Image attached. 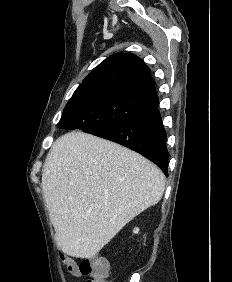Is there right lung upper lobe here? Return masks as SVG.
Here are the masks:
<instances>
[{"instance_id":"1","label":"right lung upper lobe","mask_w":232,"mask_h":282,"mask_svg":"<svg viewBox=\"0 0 232 282\" xmlns=\"http://www.w3.org/2000/svg\"><path fill=\"white\" fill-rule=\"evenodd\" d=\"M113 89L143 92L156 107L159 104L150 69L131 53H117L105 59L85 77L72 97Z\"/></svg>"}]
</instances>
